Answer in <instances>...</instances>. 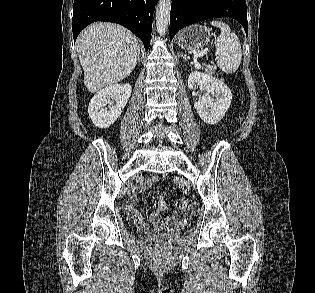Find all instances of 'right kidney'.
<instances>
[{
    "instance_id": "ca27d5eb",
    "label": "right kidney",
    "mask_w": 315,
    "mask_h": 293,
    "mask_svg": "<svg viewBox=\"0 0 315 293\" xmlns=\"http://www.w3.org/2000/svg\"><path fill=\"white\" fill-rule=\"evenodd\" d=\"M131 91L129 84H115L97 92L88 106L89 117L94 125L101 129L111 126L120 117ZM113 99L115 103L111 101Z\"/></svg>"
}]
</instances>
